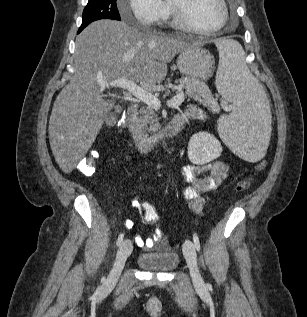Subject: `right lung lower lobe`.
Here are the masks:
<instances>
[{"label":"right lung lower lobe","instance_id":"98d812e1","mask_svg":"<svg viewBox=\"0 0 307 317\" xmlns=\"http://www.w3.org/2000/svg\"><path fill=\"white\" fill-rule=\"evenodd\" d=\"M82 30V28L79 29L78 33Z\"/></svg>","mask_w":307,"mask_h":317}]
</instances>
